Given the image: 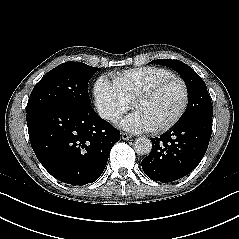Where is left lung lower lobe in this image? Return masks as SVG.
I'll return each instance as SVG.
<instances>
[{
    "mask_svg": "<svg viewBox=\"0 0 239 239\" xmlns=\"http://www.w3.org/2000/svg\"><path fill=\"white\" fill-rule=\"evenodd\" d=\"M212 133V117L177 124L152 138V151L142 160L145 174L154 181L172 182L191 172L202 160Z\"/></svg>",
    "mask_w": 239,
    "mask_h": 239,
    "instance_id": "1",
    "label": "left lung lower lobe"
}]
</instances>
